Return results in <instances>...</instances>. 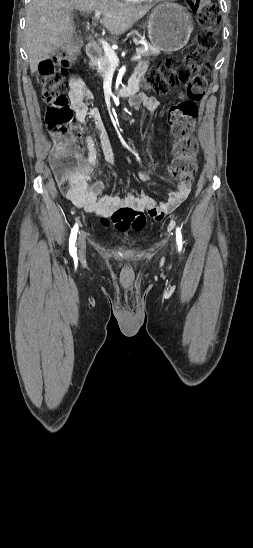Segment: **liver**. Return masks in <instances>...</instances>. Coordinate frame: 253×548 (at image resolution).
I'll return each instance as SVG.
<instances>
[{
  "mask_svg": "<svg viewBox=\"0 0 253 548\" xmlns=\"http://www.w3.org/2000/svg\"><path fill=\"white\" fill-rule=\"evenodd\" d=\"M149 9L118 0H31L25 26L31 74L38 70L39 63L46 60L50 53L73 40V10L82 13L101 11L102 25L118 36L128 31Z\"/></svg>",
  "mask_w": 253,
  "mask_h": 548,
  "instance_id": "1",
  "label": "liver"
}]
</instances>
